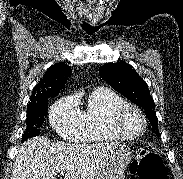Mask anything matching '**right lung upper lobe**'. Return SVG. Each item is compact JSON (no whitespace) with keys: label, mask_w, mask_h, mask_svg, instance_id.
I'll return each instance as SVG.
<instances>
[{"label":"right lung upper lobe","mask_w":183,"mask_h":179,"mask_svg":"<svg viewBox=\"0 0 183 179\" xmlns=\"http://www.w3.org/2000/svg\"><path fill=\"white\" fill-rule=\"evenodd\" d=\"M71 72V67L64 63H56L51 66L34 87L28 106L41 104L48 98L58 95Z\"/></svg>","instance_id":"1"}]
</instances>
